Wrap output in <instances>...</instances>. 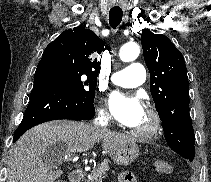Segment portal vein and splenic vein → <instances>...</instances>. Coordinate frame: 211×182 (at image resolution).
<instances>
[{"label": "portal vein and splenic vein", "mask_w": 211, "mask_h": 182, "mask_svg": "<svg viewBox=\"0 0 211 182\" xmlns=\"http://www.w3.org/2000/svg\"><path fill=\"white\" fill-rule=\"evenodd\" d=\"M64 159H65V161H66V160H71V159H72V155H68V154H67V155H65V158H64Z\"/></svg>", "instance_id": "1"}]
</instances>
